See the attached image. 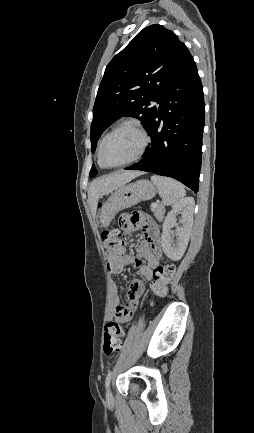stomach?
I'll return each instance as SVG.
<instances>
[{"mask_svg":"<svg viewBox=\"0 0 254 433\" xmlns=\"http://www.w3.org/2000/svg\"><path fill=\"white\" fill-rule=\"evenodd\" d=\"M155 194L156 187L148 180H139L119 187L109 196L100 211V227L107 228L119 211L140 201L150 200Z\"/></svg>","mask_w":254,"mask_h":433,"instance_id":"stomach-1","label":"stomach"}]
</instances>
